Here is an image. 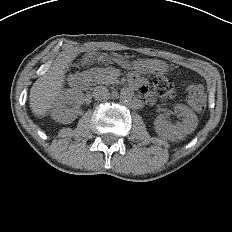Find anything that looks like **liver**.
<instances>
[{
	"label": "liver",
	"instance_id": "obj_1",
	"mask_svg": "<svg viewBox=\"0 0 232 232\" xmlns=\"http://www.w3.org/2000/svg\"><path fill=\"white\" fill-rule=\"evenodd\" d=\"M74 55L55 62L43 76L38 78L30 89V107L32 112L45 116L64 84L65 68Z\"/></svg>",
	"mask_w": 232,
	"mask_h": 232
}]
</instances>
